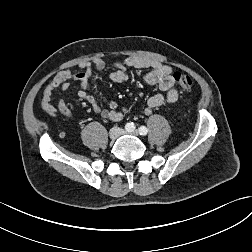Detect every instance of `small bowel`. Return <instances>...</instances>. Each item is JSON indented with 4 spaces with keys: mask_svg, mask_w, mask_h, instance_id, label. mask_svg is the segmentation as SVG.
Listing matches in <instances>:
<instances>
[{
    "mask_svg": "<svg viewBox=\"0 0 252 252\" xmlns=\"http://www.w3.org/2000/svg\"><path fill=\"white\" fill-rule=\"evenodd\" d=\"M105 66L103 59L95 58L91 62H81L79 67L82 71L78 73L72 74L69 71L58 73L44 89L43 108L52 115L61 114L68 118H73L74 115L70 107L63 99H59L56 105H53L51 101L56 89L61 88L63 91H67L72 81H78L80 84V89L77 93L78 97L86 101L96 114L113 121L122 120L127 112L126 108H119L114 101L110 102L106 108H102L89 92L93 70L103 71ZM128 68L147 70V73L144 75V81L149 85H156L160 90L159 93L152 95L147 100L143 108L145 115H151L155 109L167 104H173L178 100L179 92L175 86L170 66L145 58L128 57L123 62L114 64V70L110 73L109 78L115 83L127 81Z\"/></svg>",
    "mask_w": 252,
    "mask_h": 252,
    "instance_id": "1",
    "label": "small bowel"
}]
</instances>
